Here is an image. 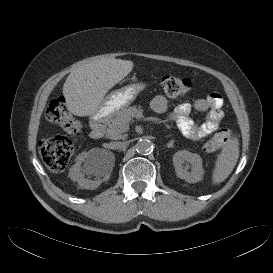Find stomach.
<instances>
[{"mask_svg": "<svg viewBox=\"0 0 273 273\" xmlns=\"http://www.w3.org/2000/svg\"><path fill=\"white\" fill-rule=\"evenodd\" d=\"M144 88L143 83H133L111 92L104 99L100 111L93 115V119H110L114 117L119 111L127 108Z\"/></svg>", "mask_w": 273, "mask_h": 273, "instance_id": "stomach-1", "label": "stomach"}]
</instances>
